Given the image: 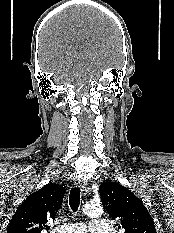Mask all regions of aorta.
Segmentation results:
<instances>
[{"mask_svg": "<svg viewBox=\"0 0 174 233\" xmlns=\"http://www.w3.org/2000/svg\"><path fill=\"white\" fill-rule=\"evenodd\" d=\"M83 212L90 217H99L103 213V208L100 204L86 203Z\"/></svg>", "mask_w": 174, "mask_h": 233, "instance_id": "762f6f07", "label": "aorta"}]
</instances>
